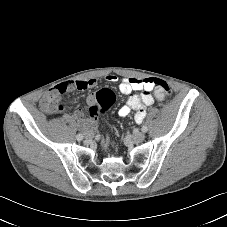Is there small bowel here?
<instances>
[{
  "label": "small bowel",
  "mask_w": 227,
  "mask_h": 227,
  "mask_svg": "<svg viewBox=\"0 0 227 227\" xmlns=\"http://www.w3.org/2000/svg\"><path fill=\"white\" fill-rule=\"evenodd\" d=\"M151 78H123L119 83V90L122 94L127 96L125 105L118 110L120 117L128 116L132 111H135L134 120L136 123H141L146 117V110L151 106L155 100H163L165 93L159 90L156 86L150 84ZM108 83H117L119 78L114 74H108L105 77ZM79 85L82 87L79 88ZM97 85L96 79H88L85 81H71L63 82L55 86L49 93H47L42 101V108L48 113L60 112L64 109L63 105L59 103L58 96L72 89H87L93 88ZM139 91L140 94L134 92ZM94 95H89L87 98L88 104L94 101ZM72 116L78 121L79 126L83 130H87L90 122L83 116L80 109L72 111ZM107 144V143H105Z\"/></svg>",
  "instance_id": "1"
}]
</instances>
